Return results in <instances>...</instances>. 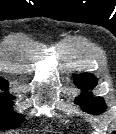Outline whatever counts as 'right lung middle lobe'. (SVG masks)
<instances>
[{"label":"right lung middle lobe","mask_w":116,"mask_h":134,"mask_svg":"<svg viewBox=\"0 0 116 134\" xmlns=\"http://www.w3.org/2000/svg\"><path fill=\"white\" fill-rule=\"evenodd\" d=\"M11 99L14 98L9 95L0 97V130L15 128L24 118L12 110L13 102Z\"/></svg>","instance_id":"dd1d6c3e"}]
</instances>
